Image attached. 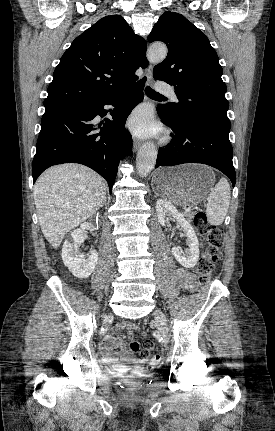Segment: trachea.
I'll list each match as a JSON object with an SVG mask.
<instances>
[{
  "label": "trachea",
  "mask_w": 275,
  "mask_h": 431,
  "mask_svg": "<svg viewBox=\"0 0 275 431\" xmlns=\"http://www.w3.org/2000/svg\"><path fill=\"white\" fill-rule=\"evenodd\" d=\"M145 93H146L148 96L160 97V98H166V97H164L163 95H161V94H159V93L155 92V91H154L153 89H151L150 87H146V88H145Z\"/></svg>",
  "instance_id": "trachea-1"
}]
</instances>
